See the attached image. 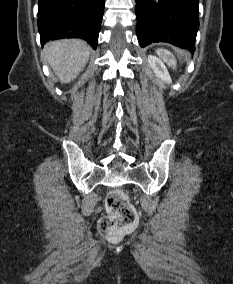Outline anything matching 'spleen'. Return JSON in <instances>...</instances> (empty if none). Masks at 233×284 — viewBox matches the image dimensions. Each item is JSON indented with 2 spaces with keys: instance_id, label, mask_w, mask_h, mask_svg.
I'll return each instance as SVG.
<instances>
[{
  "instance_id": "3e777b00",
  "label": "spleen",
  "mask_w": 233,
  "mask_h": 284,
  "mask_svg": "<svg viewBox=\"0 0 233 284\" xmlns=\"http://www.w3.org/2000/svg\"><path fill=\"white\" fill-rule=\"evenodd\" d=\"M156 52L158 53V55L165 58L171 65H175L173 55L170 53V51L166 49H157Z\"/></svg>"
}]
</instances>
